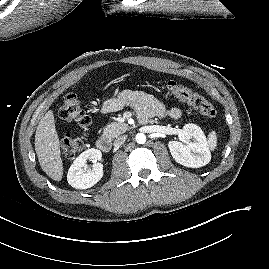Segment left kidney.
Wrapping results in <instances>:
<instances>
[{"mask_svg": "<svg viewBox=\"0 0 269 269\" xmlns=\"http://www.w3.org/2000/svg\"><path fill=\"white\" fill-rule=\"evenodd\" d=\"M180 140L168 142L170 153L177 163L199 168L210 162L211 154L206 136L199 126L186 124L180 133Z\"/></svg>", "mask_w": 269, "mask_h": 269, "instance_id": "5707ae66", "label": "left kidney"}]
</instances>
